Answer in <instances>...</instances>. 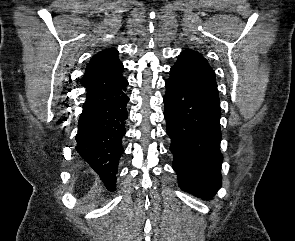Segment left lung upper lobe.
Wrapping results in <instances>:
<instances>
[{
  "label": "left lung upper lobe",
  "instance_id": "1",
  "mask_svg": "<svg viewBox=\"0 0 295 241\" xmlns=\"http://www.w3.org/2000/svg\"><path fill=\"white\" fill-rule=\"evenodd\" d=\"M171 71L196 92L219 100L215 73L200 53L184 50Z\"/></svg>",
  "mask_w": 295,
  "mask_h": 241
}]
</instances>
